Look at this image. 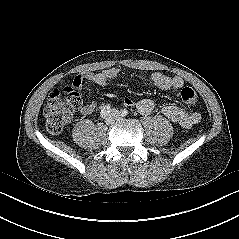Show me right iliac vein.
<instances>
[{
  "label": "right iliac vein",
  "instance_id": "1",
  "mask_svg": "<svg viewBox=\"0 0 239 239\" xmlns=\"http://www.w3.org/2000/svg\"><path fill=\"white\" fill-rule=\"evenodd\" d=\"M105 122L107 125H112L115 122V118L112 115L106 117Z\"/></svg>",
  "mask_w": 239,
  "mask_h": 239
}]
</instances>
